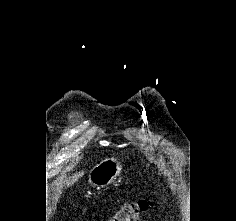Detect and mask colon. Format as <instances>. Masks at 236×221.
I'll return each instance as SVG.
<instances>
[{
	"mask_svg": "<svg viewBox=\"0 0 236 221\" xmlns=\"http://www.w3.org/2000/svg\"><path fill=\"white\" fill-rule=\"evenodd\" d=\"M151 206L148 200H139L122 204L109 217L108 221H139Z\"/></svg>",
	"mask_w": 236,
	"mask_h": 221,
	"instance_id": "1",
	"label": "colon"
}]
</instances>
